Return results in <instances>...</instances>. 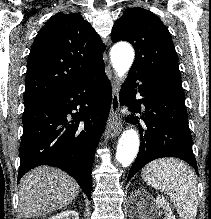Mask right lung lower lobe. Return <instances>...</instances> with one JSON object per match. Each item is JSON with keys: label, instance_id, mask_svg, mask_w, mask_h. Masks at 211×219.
I'll return each mask as SVG.
<instances>
[{"label": "right lung lower lobe", "instance_id": "98d812e1", "mask_svg": "<svg viewBox=\"0 0 211 219\" xmlns=\"http://www.w3.org/2000/svg\"><path fill=\"white\" fill-rule=\"evenodd\" d=\"M111 100V84L103 67L54 96L25 107L18 181L39 165H51L70 174L90 200L93 156ZM72 110L79 112L72 114ZM68 114H72V121Z\"/></svg>", "mask_w": 211, "mask_h": 219}]
</instances>
